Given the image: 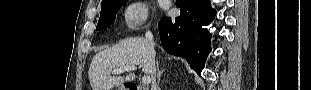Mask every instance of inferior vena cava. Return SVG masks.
<instances>
[{"mask_svg": "<svg viewBox=\"0 0 311 90\" xmlns=\"http://www.w3.org/2000/svg\"><path fill=\"white\" fill-rule=\"evenodd\" d=\"M145 38L152 43L153 41V34L151 33V31H147L145 33ZM147 46L149 45L148 43L146 44ZM150 53L147 55V58L149 60H154L156 58V55L154 53H151L152 51L150 50L149 51ZM155 75H156V67H155V64L153 65V71H152V80H153V84H155Z\"/></svg>", "mask_w": 311, "mask_h": 90, "instance_id": "1", "label": "inferior vena cava"}]
</instances>
